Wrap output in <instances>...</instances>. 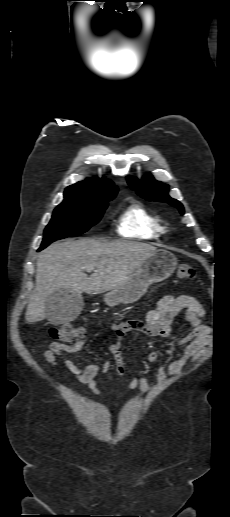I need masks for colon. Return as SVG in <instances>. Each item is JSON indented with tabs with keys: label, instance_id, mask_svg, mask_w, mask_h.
Listing matches in <instances>:
<instances>
[{
	"label": "colon",
	"instance_id": "5ec220e1",
	"mask_svg": "<svg viewBox=\"0 0 230 517\" xmlns=\"http://www.w3.org/2000/svg\"><path fill=\"white\" fill-rule=\"evenodd\" d=\"M177 276L181 280H193L196 276L195 270L192 266L181 264L177 271ZM50 336L64 344H74L84 337L85 331L81 327L72 324H62L53 327L49 331Z\"/></svg>",
	"mask_w": 230,
	"mask_h": 517
}]
</instances>
